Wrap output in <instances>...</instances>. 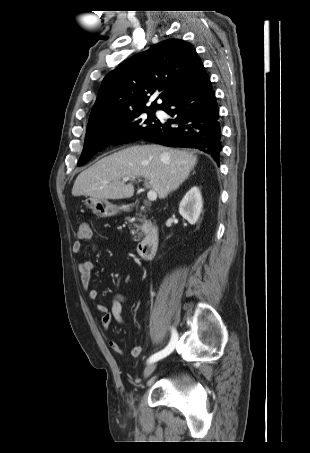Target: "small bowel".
Here are the masks:
<instances>
[{"label": "small bowel", "mask_w": 310, "mask_h": 453, "mask_svg": "<svg viewBox=\"0 0 310 453\" xmlns=\"http://www.w3.org/2000/svg\"><path fill=\"white\" fill-rule=\"evenodd\" d=\"M72 251L75 254H80L82 251V244L80 241H75L72 246ZM93 268V263L90 260H82L78 265V273L80 277L81 286L87 292L88 297L91 300L98 298V291L96 288L91 287V271ZM126 302V297L121 293H115L111 300V307H108L103 303H98L96 305L97 311L101 314V325L104 329H108L112 323L115 321L118 324H124L125 319L122 315L123 304ZM109 347L115 353L121 354L123 352L120 345L115 341L109 342ZM142 348L141 346H134L131 350V355L133 357H139L141 355Z\"/></svg>", "instance_id": "small-bowel-1"}]
</instances>
